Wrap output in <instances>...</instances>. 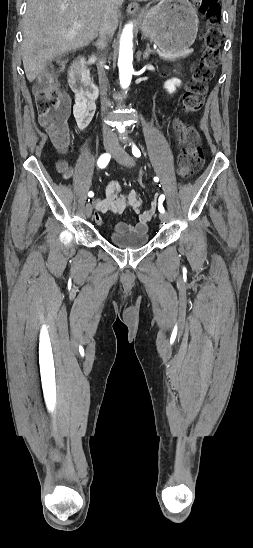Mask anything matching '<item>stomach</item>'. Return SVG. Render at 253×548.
<instances>
[{"mask_svg": "<svg viewBox=\"0 0 253 548\" xmlns=\"http://www.w3.org/2000/svg\"><path fill=\"white\" fill-rule=\"evenodd\" d=\"M198 23L188 0H161L144 14L141 30L161 50L183 53L194 43Z\"/></svg>", "mask_w": 253, "mask_h": 548, "instance_id": "stomach-1", "label": "stomach"}]
</instances>
